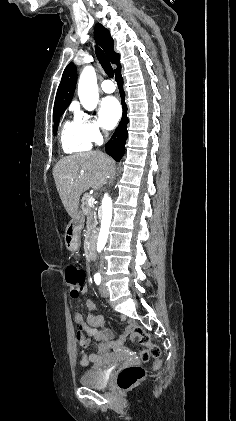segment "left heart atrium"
Masks as SVG:
<instances>
[{
	"label": "left heart atrium",
	"instance_id": "1",
	"mask_svg": "<svg viewBox=\"0 0 236 421\" xmlns=\"http://www.w3.org/2000/svg\"><path fill=\"white\" fill-rule=\"evenodd\" d=\"M100 111L103 125L107 129L114 128L121 117V107L117 98L114 96L105 97L101 102Z\"/></svg>",
	"mask_w": 236,
	"mask_h": 421
}]
</instances>
